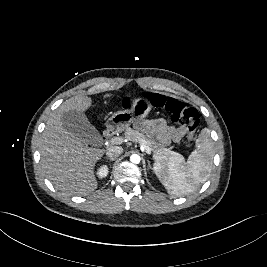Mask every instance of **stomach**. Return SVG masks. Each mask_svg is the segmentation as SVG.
I'll list each match as a JSON object with an SVG mask.
<instances>
[{
    "label": "stomach",
    "instance_id": "1",
    "mask_svg": "<svg viewBox=\"0 0 267 267\" xmlns=\"http://www.w3.org/2000/svg\"><path fill=\"white\" fill-rule=\"evenodd\" d=\"M152 109V105L144 98H136L130 109L114 113L107 121V128L121 132L132 123L145 118Z\"/></svg>",
    "mask_w": 267,
    "mask_h": 267
}]
</instances>
